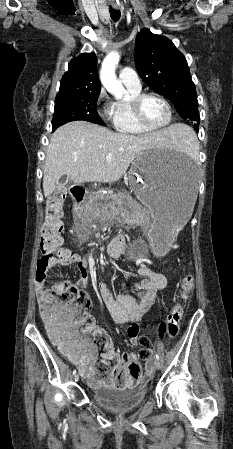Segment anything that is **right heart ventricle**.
I'll return each instance as SVG.
<instances>
[{
  "mask_svg": "<svg viewBox=\"0 0 233 449\" xmlns=\"http://www.w3.org/2000/svg\"><path fill=\"white\" fill-rule=\"evenodd\" d=\"M127 95L125 98L116 99L110 104L109 118L112 127L119 133L132 136H142L150 133L140 126L131 111V99L141 93V88L126 86Z\"/></svg>",
  "mask_w": 233,
  "mask_h": 449,
  "instance_id": "1",
  "label": "right heart ventricle"
}]
</instances>
